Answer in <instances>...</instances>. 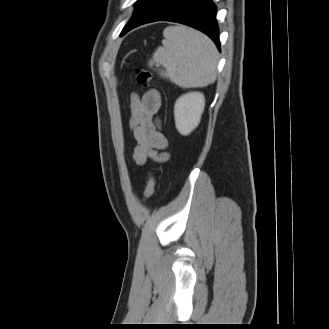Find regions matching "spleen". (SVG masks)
<instances>
[{"mask_svg": "<svg viewBox=\"0 0 329 329\" xmlns=\"http://www.w3.org/2000/svg\"><path fill=\"white\" fill-rule=\"evenodd\" d=\"M162 47L153 54L154 63L165 68L160 75L183 88L206 87L217 76L218 51L203 33L184 26L163 31Z\"/></svg>", "mask_w": 329, "mask_h": 329, "instance_id": "obj_1", "label": "spleen"}]
</instances>
